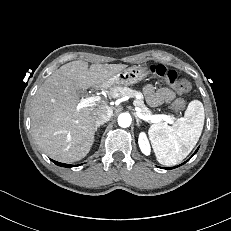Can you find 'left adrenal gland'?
<instances>
[{"instance_id": "1", "label": "left adrenal gland", "mask_w": 231, "mask_h": 231, "mask_svg": "<svg viewBox=\"0 0 231 231\" xmlns=\"http://www.w3.org/2000/svg\"><path fill=\"white\" fill-rule=\"evenodd\" d=\"M136 122H137V126H140L141 120L136 116Z\"/></svg>"}]
</instances>
